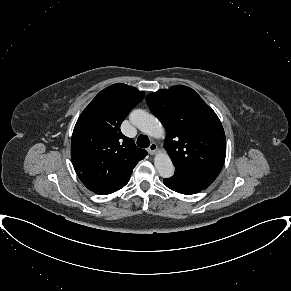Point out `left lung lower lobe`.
I'll return each mask as SVG.
<instances>
[{
  "instance_id": "0a47b994",
  "label": "left lung lower lobe",
  "mask_w": 291,
  "mask_h": 291,
  "mask_svg": "<svg viewBox=\"0 0 291 291\" xmlns=\"http://www.w3.org/2000/svg\"><path fill=\"white\" fill-rule=\"evenodd\" d=\"M217 176L175 169V174L164 179L165 186L181 194H195L210 186Z\"/></svg>"
}]
</instances>
